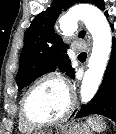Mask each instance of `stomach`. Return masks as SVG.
<instances>
[{"label": "stomach", "mask_w": 116, "mask_h": 134, "mask_svg": "<svg viewBox=\"0 0 116 134\" xmlns=\"http://www.w3.org/2000/svg\"><path fill=\"white\" fill-rule=\"evenodd\" d=\"M45 134H52V132H47ZM55 134H90V128L89 125L84 123H74L57 130Z\"/></svg>", "instance_id": "0dacf381"}]
</instances>
